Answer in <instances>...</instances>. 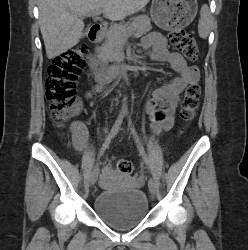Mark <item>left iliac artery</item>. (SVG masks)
I'll return each instance as SVG.
<instances>
[{"mask_svg":"<svg viewBox=\"0 0 248 250\" xmlns=\"http://www.w3.org/2000/svg\"><path fill=\"white\" fill-rule=\"evenodd\" d=\"M128 124H129L130 130H131V133H132V135H133V137H134V139H135V143H136V145H137V148H138V150H139V153H140V155L143 157V159H144L146 165L149 167V160H148V157H147V155H146V153H145L144 147H143L142 144H141V141H140V139H139V137H138V135H137L136 129L134 128V126H133L132 121H131L130 118H128ZM149 168H150V167H149Z\"/></svg>","mask_w":248,"mask_h":250,"instance_id":"44dca946","label":"left iliac artery"}]
</instances>
